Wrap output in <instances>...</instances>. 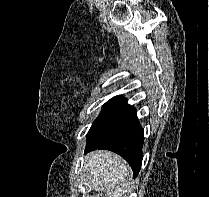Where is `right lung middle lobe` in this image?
<instances>
[{"instance_id": "right-lung-middle-lobe-1", "label": "right lung middle lobe", "mask_w": 209, "mask_h": 197, "mask_svg": "<svg viewBox=\"0 0 209 197\" xmlns=\"http://www.w3.org/2000/svg\"><path fill=\"white\" fill-rule=\"evenodd\" d=\"M126 104H127V100L125 98H123L122 96H116V97L110 99L104 105V108H103L102 112L97 117V119L95 120V122L103 119L104 117H106L107 115H109L110 113H112L113 111L121 108L122 106H124Z\"/></svg>"}]
</instances>
